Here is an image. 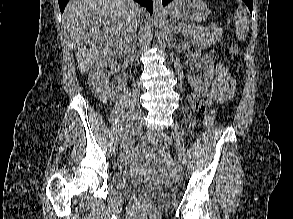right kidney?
<instances>
[{"mask_svg": "<svg viewBox=\"0 0 293 219\" xmlns=\"http://www.w3.org/2000/svg\"><path fill=\"white\" fill-rule=\"evenodd\" d=\"M108 68L112 71H117V62L114 59H103L97 62L92 67L88 77V83L92 93L104 103L114 101L116 96L114 85L108 83L104 73Z\"/></svg>", "mask_w": 293, "mask_h": 219, "instance_id": "ca27d5eb", "label": "right kidney"}]
</instances>
